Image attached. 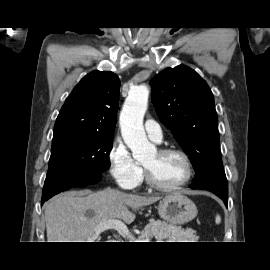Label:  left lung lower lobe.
Returning a JSON list of instances; mask_svg holds the SVG:
<instances>
[{
    "label": "left lung lower lobe",
    "instance_id": "1",
    "mask_svg": "<svg viewBox=\"0 0 270 270\" xmlns=\"http://www.w3.org/2000/svg\"><path fill=\"white\" fill-rule=\"evenodd\" d=\"M192 189H205L220 197L228 207V183L224 170H215L203 179L190 185Z\"/></svg>",
    "mask_w": 270,
    "mask_h": 270
}]
</instances>
